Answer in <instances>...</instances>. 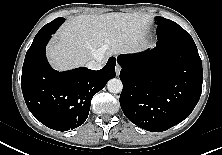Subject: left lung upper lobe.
<instances>
[{"instance_id":"1","label":"left lung upper lobe","mask_w":222,"mask_h":155,"mask_svg":"<svg viewBox=\"0 0 222 155\" xmlns=\"http://www.w3.org/2000/svg\"><path fill=\"white\" fill-rule=\"evenodd\" d=\"M157 24V39L158 40H169V39H192L190 34L186 32L177 23L163 18H155Z\"/></svg>"}]
</instances>
